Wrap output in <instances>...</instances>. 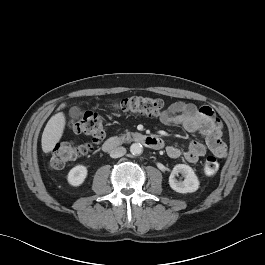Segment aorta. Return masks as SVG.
<instances>
[{
    "mask_svg": "<svg viewBox=\"0 0 265 265\" xmlns=\"http://www.w3.org/2000/svg\"><path fill=\"white\" fill-rule=\"evenodd\" d=\"M130 152L133 155H140L143 152V146L140 143H133L130 146Z\"/></svg>",
    "mask_w": 265,
    "mask_h": 265,
    "instance_id": "762f6f07",
    "label": "aorta"
}]
</instances>
